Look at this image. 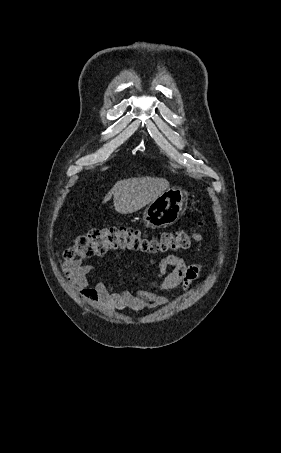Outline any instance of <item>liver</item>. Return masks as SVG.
I'll use <instances>...</instances> for the list:
<instances>
[{"label":"liver","mask_w":281,"mask_h":453,"mask_svg":"<svg viewBox=\"0 0 281 453\" xmlns=\"http://www.w3.org/2000/svg\"><path fill=\"white\" fill-rule=\"evenodd\" d=\"M169 186L170 182L166 178H157V176L155 178L152 176L124 178V180L115 182L113 188L104 196L103 202L110 200L113 194L115 210L121 214H129V212H135L149 204Z\"/></svg>","instance_id":"liver-1"}]
</instances>
